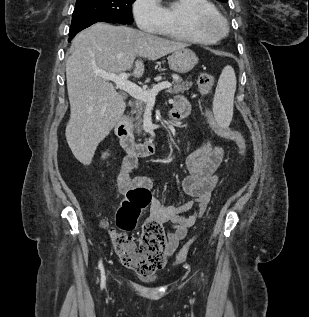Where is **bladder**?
<instances>
[{"label":"bladder","mask_w":309,"mask_h":317,"mask_svg":"<svg viewBox=\"0 0 309 317\" xmlns=\"http://www.w3.org/2000/svg\"><path fill=\"white\" fill-rule=\"evenodd\" d=\"M155 279L153 277H150V278H144V281H147V282H151V281H154Z\"/></svg>","instance_id":"31cf9c89"}]
</instances>
